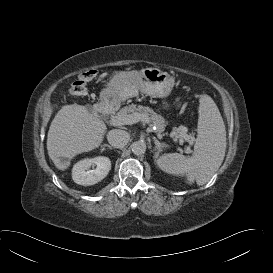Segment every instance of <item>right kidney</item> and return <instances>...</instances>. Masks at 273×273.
I'll return each mask as SVG.
<instances>
[{
  "label": "right kidney",
  "instance_id": "1",
  "mask_svg": "<svg viewBox=\"0 0 273 273\" xmlns=\"http://www.w3.org/2000/svg\"><path fill=\"white\" fill-rule=\"evenodd\" d=\"M96 166L95 169H90ZM111 169L108 157L98 156L77 162L72 169V179L79 185L89 186L103 180Z\"/></svg>",
  "mask_w": 273,
  "mask_h": 273
}]
</instances>
